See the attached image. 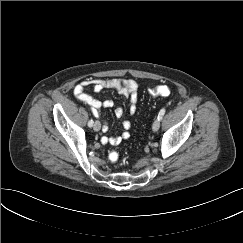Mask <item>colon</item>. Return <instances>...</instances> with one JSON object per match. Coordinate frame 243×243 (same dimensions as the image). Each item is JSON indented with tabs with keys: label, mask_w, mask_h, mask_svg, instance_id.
Wrapping results in <instances>:
<instances>
[{
	"label": "colon",
	"mask_w": 243,
	"mask_h": 243,
	"mask_svg": "<svg viewBox=\"0 0 243 243\" xmlns=\"http://www.w3.org/2000/svg\"><path fill=\"white\" fill-rule=\"evenodd\" d=\"M151 95L154 96H169L171 93V90L168 86L166 85H158L155 86L154 88L149 90ZM119 159V154L115 151H112L109 153V160L111 162H117Z\"/></svg>",
	"instance_id": "5ec220e1"
}]
</instances>
